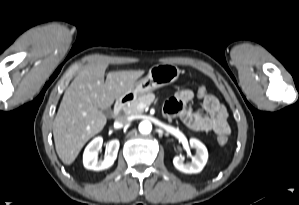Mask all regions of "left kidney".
Returning a JSON list of instances; mask_svg holds the SVG:
<instances>
[{"mask_svg":"<svg viewBox=\"0 0 299 205\" xmlns=\"http://www.w3.org/2000/svg\"><path fill=\"white\" fill-rule=\"evenodd\" d=\"M190 146L196 149V155L192 157V162L185 164L182 158L176 156L173 159V164L177 170L183 173H199L206 165L208 160V151L205 145L195 138L190 139Z\"/></svg>","mask_w":299,"mask_h":205,"instance_id":"obj_1","label":"left kidney"}]
</instances>
